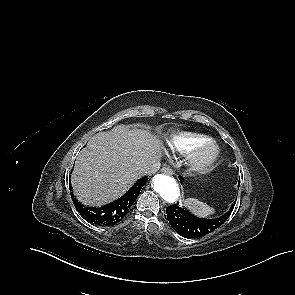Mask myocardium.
<instances>
[{
	"instance_id": "myocardium-1",
	"label": "myocardium",
	"mask_w": 295,
	"mask_h": 295,
	"mask_svg": "<svg viewBox=\"0 0 295 295\" xmlns=\"http://www.w3.org/2000/svg\"><path fill=\"white\" fill-rule=\"evenodd\" d=\"M221 150L219 145L207 139L194 147L187 156V161L190 169L197 173L209 171L217 162Z\"/></svg>"
}]
</instances>
